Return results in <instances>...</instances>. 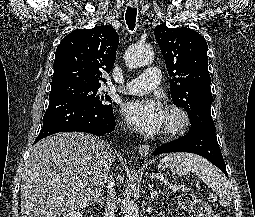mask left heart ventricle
<instances>
[{
	"label": "left heart ventricle",
	"mask_w": 255,
	"mask_h": 217,
	"mask_svg": "<svg viewBox=\"0 0 255 217\" xmlns=\"http://www.w3.org/2000/svg\"><path fill=\"white\" fill-rule=\"evenodd\" d=\"M178 123V117L173 113L165 112V119L162 130L176 126Z\"/></svg>",
	"instance_id": "b2bd125f"
}]
</instances>
